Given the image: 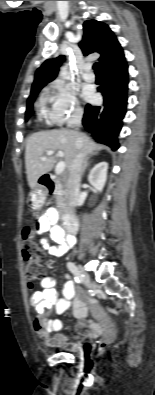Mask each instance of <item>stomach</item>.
Returning a JSON list of instances; mask_svg holds the SVG:
<instances>
[{"label": "stomach", "mask_w": 155, "mask_h": 395, "mask_svg": "<svg viewBox=\"0 0 155 395\" xmlns=\"http://www.w3.org/2000/svg\"><path fill=\"white\" fill-rule=\"evenodd\" d=\"M46 200V193L41 190L38 186L35 187L30 193L29 202L31 203V207L33 209H39L43 206Z\"/></svg>", "instance_id": "stomach-1"}]
</instances>
